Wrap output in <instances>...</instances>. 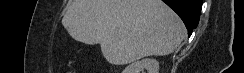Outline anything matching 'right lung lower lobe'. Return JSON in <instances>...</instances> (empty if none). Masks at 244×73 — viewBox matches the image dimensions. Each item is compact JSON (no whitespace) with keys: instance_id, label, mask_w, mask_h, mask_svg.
<instances>
[{"instance_id":"1","label":"right lung lower lobe","mask_w":244,"mask_h":73,"mask_svg":"<svg viewBox=\"0 0 244 73\" xmlns=\"http://www.w3.org/2000/svg\"><path fill=\"white\" fill-rule=\"evenodd\" d=\"M171 7L183 20L188 29V36L197 27L202 0H162Z\"/></svg>"}]
</instances>
